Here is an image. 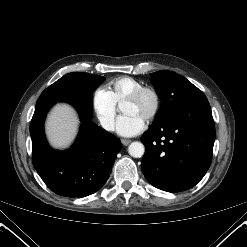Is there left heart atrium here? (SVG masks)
Returning a JSON list of instances; mask_svg holds the SVG:
<instances>
[{
  "label": "left heart atrium",
  "instance_id": "obj_1",
  "mask_svg": "<svg viewBox=\"0 0 247 247\" xmlns=\"http://www.w3.org/2000/svg\"><path fill=\"white\" fill-rule=\"evenodd\" d=\"M145 128V120L137 114H125L118 118L116 131L124 137L139 134Z\"/></svg>",
  "mask_w": 247,
  "mask_h": 247
}]
</instances>
